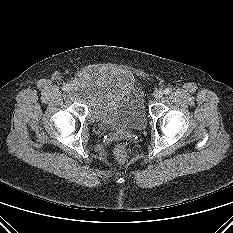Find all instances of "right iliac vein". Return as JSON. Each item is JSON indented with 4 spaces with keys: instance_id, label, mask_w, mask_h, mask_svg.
<instances>
[{
    "instance_id": "1",
    "label": "right iliac vein",
    "mask_w": 233,
    "mask_h": 233,
    "mask_svg": "<svg viewBox=\"0 0 233 233\" xmlns=\"http://www.w3.org/2000/svg\"><path fill=\"white\" fill-rule=\"evenodd\" d=\"M71 91V88L68 90V92H70Z\"/></svg>"
}]
</instances>
